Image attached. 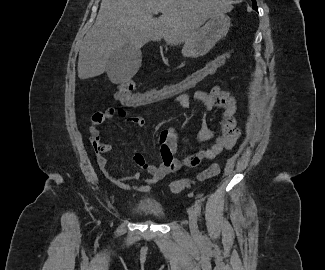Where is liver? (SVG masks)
<instances>
[{
  "label": "liver",
  "mask_w": 325,
  "mask_h": 270,
  "mask_svg": "<svg viewBox=\"0 0 325 270\" xmlns=\"http://www.w3.org/2000/svg\"><path fill=\"white\" fill-rule=\"evenodd\" d=\"M232 9L227 0H102L96 21L80 47L78 77L103 74L110 56L126 44L139 50L162 38L168 45L189 41L209 18ZM157 12L162 15L154 18ZM109 79L113 83L128 80Z\"/></svg>",
  "instance_id": "liver-1"
}]
</instances>
